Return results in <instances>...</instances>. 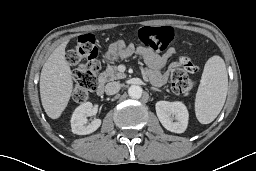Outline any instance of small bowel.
<instances>
[{
  "instance_id": "obj_1",
  "label": "small bowel",
  "mask_w": 256,
  "mask_h": 171,
  "mask_svg": "<svg viewBox=\"0 0 256 171\" xmlns=\"http://www.w3.org/2000/svg\"><path fill=\"white\" fill-rule=\"evenodd\" d=\"M133 53L140 54L144 61L147 63L149 70L148 73L154 85L162 86L167 80V74L163 73L161 69L166 64L167 60L175 54L174 49H169L165 54L158 55L153 51L146 48L134 47L133 45L127 44L119 52L108 53V58L115 59L118 57L126 58Z\"/></svg>"
}]
</instances>
